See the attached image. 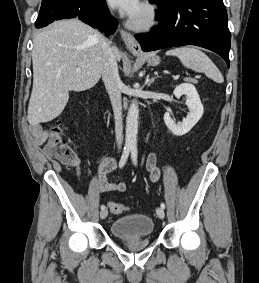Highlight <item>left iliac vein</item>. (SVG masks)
<instances>
[{"instance_id": "1", "label": "left iliac vein", "mask_w": 259, "mask_h": 283, "mask_svg": "<svg viewBox=\"0 0 259 283\" xmlns=\"http://www.w3.org/2000/svg\"><path fill=\"white\" fill-rule=\"evenodd\" d=\"M156 214L160 219H164V217H165V212L161 207H158L156 209Z\"/></svg>"}]
</instances>
